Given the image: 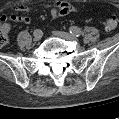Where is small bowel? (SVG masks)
<instances>
[{"label":"small bowel","instance_id":"small-bowel-1","mask_svg":"<svg viewBox=\"0 0 119 119\" xmlns=\"http://www.w3.org/2000/svg\"><path fill=\"white\" fill-rule=\"evenodd\" d=\"M51 7V14L53 18H58L60 16L67 15L71 12L75 11V7L72 6L70 3L64 2V1H54L50 4ZM32 9V6L27 5V4H20L16 7V11L19 13H25L29 12ZM7 20L15 21V22H20L23 24H29L30 23V18L27 16H21V15H11V16H3L2 21L3 24L2 26L5 27L8 32H10V25L7 22Z\"/></svg>","mask_w":119,"mask_h":119}]
</instances>
